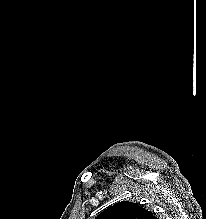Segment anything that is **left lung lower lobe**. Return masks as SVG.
<instances>
[{
	"label": "left lung lower lobe",
	"mask_w": 206,
	"mask_h": 219,
	"mask_svg": "<svg viewBox=\"0 0 206 219\" xmlns=\"http://www.w3.org/2000/svg\"><path fill=\"white\" fill-rule=\"evenodd\" d=\"M152 219H158L157 217L153 216Z\"/></svg>",
	"instance_id": "left-lung-lower-lobe-1"
}]
</instances>
